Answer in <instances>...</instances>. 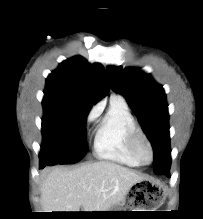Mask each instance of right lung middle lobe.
I'll return each instance as SVG.
<instances>
[{"label": "right lung middle lobe", "mask_w": 203, "mask_h": 219, "mask_svg": "<svg viewBox=\"0 0 203 219\" xmlns=\"http://www.w3.org/2000/svg\"><path fill=\"white\" fill-rule=\"evenodd\" d=\"M42 105L44 118L40 166L79 161L87 151L85 124L92 106L48 93H44Z\"/></svg>", "instance_id": "1"}]
</instances>
